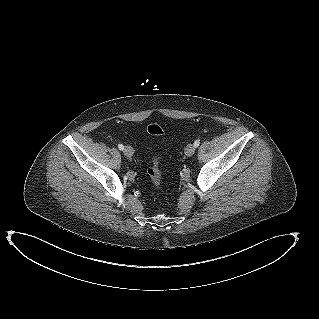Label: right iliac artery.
<instances>
[{
	"label": "right iliac artery",
	"instance_id": "obj_1",
	"mask_svg": "<svg viewBox=\"0 0 319 319\" xmlns=\"http://www.w3.org/2000/svg\"><path fill=\"white\" fill-rule=\"evenodd\" d=\"M119 150H124V146L122 144L118 145Z\"/></svg>",
	"mask_w": 319,
	"mask_h": 319
}]
</instances>
